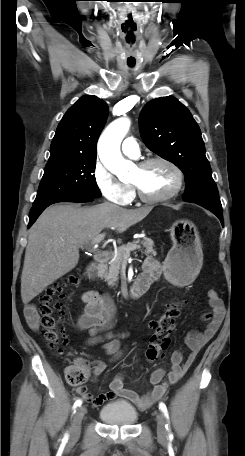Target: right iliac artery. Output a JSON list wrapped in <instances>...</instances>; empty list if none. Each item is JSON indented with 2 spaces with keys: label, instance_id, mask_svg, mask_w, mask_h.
Returning a JSON list of instances; mask_svg holds the SVG:
<instances>
[{
  "label": "right iliac artery",
  "instance_id": "1",
  "mask_svg": "<svg viewBox=\"0 0 245 456\" xmlns=\"http://www.w3.org/2000/svg\"><path fill=\"white\" fill-rule=\"evenodd\" d=\"M81 404H82V401L80 399L75 401V403L73 405V409L77 408L78 406H81ZM65 439L66 440L68 439V434L65 435Z\"/></svg>",
  "mask_w": 245,
  "mask_h": 456
}]
</instances>
